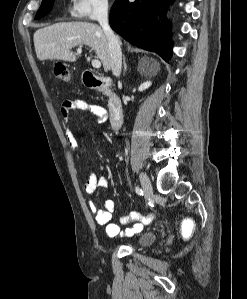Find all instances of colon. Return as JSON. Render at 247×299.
<instances>
[{
  "label": "colon",
  "instance_id": "1",
  "mask_svg": "<svg viewBox=\"0 0 247 299\" xmlns=\"http://www.w3.org/2000/svg\"><path fill=\"white\" fill-rule=\"evenodd\" d=\"M54 75L63 82H68L70 79L69 72L66 67L60 63H56L53 68ZM185 228H189V224H185Z\"/></svg>",
  "mask_w": 247,
  "mask_h": 299
}]
</instances>
